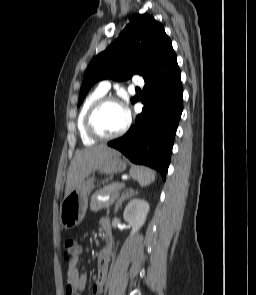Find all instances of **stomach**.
Segmentation results:
<instances>
[{"instance_id": "1", "label": "stomach", "mask_w": 256, "mask_h": 295, "mask_svg": "<svg viewBox=\"0 0 256 295\" xmlns=\"http://www.w3.org/2000/svg\"><path fill=\"white\" fill-rule=\"evenodd\" d=\"M127 164L120 154L111 156L99 169V173L112 175L122 173ZM94 186V176L87 178L64 197L60 208V222L66 229L78 226L85 217L88 207V195Z\"/></svg>"}]
</instances>
